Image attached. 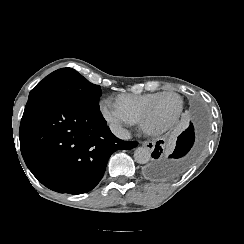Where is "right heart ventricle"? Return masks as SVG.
<instances>
[{
	"mask_svg": "<svg viewBox=\"0 0 244 244\" xmlns=\"http://www.w3.org/2000/svg\"><path fill=\"white\" fill-rule=\"evenodd\" d=\"M153 95H121L115 98L114 100V106L116 108H120L124 106L125 104H128V106L132 109V121L135 123H143L144 120L147 117H151L149 112L147 111L148 104L150 100L152 99ZM120 100L124 104L117 105V101ZM153 110V109H152Z\"/></svg>",
	"mask_w": 244,
	"mask_h": 244,
	"instance_id": "e07e8e85",
	"label": "right heart ventricle"
}]
</instances>
